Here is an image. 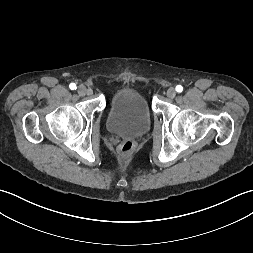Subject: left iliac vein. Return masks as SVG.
Wrapping results in <instances>:
<instances>
[{
    "label": "left iliac vein",
    "mask_w": 253,
    "mask_h": 253,
    "mask_svg": "<svg viewBox=\"0 0 253 253\" xmlns=\"http://www.w3.org/2000/svg\"><path fill=\"white\" fill-rule=\"evenodd\" d=\"M166 95L168 98L173 99L176 96V90L171 87L167 90Z\"/></svg>",
    "instance_id": "4c4485c4"
}]
</instances>
